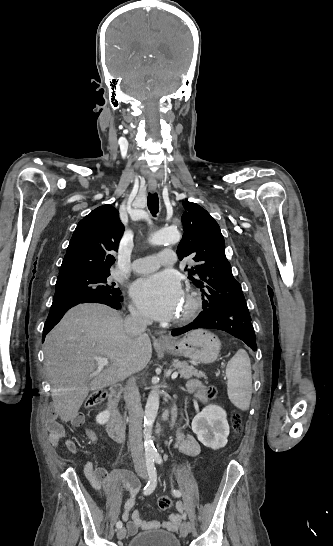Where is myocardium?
<instances>
[{
	"mask_svg": "<svg viewBox=\"0 0 333 546\" xmlns=\"http://www.w3.org/2000/svg\"><path fill=\"white\" fill-rule=\"evenodd\" d=\"M187 301L184 312L175 318V323L185 324L190 322L197 314L200 308V298L193 291L188 290L185 294Z\"/></svg>",
	"mask_w": 333,
	"mask_h": 546,
	"instance_id": "1",
	"label": "myocardium"
}]
</instances>
